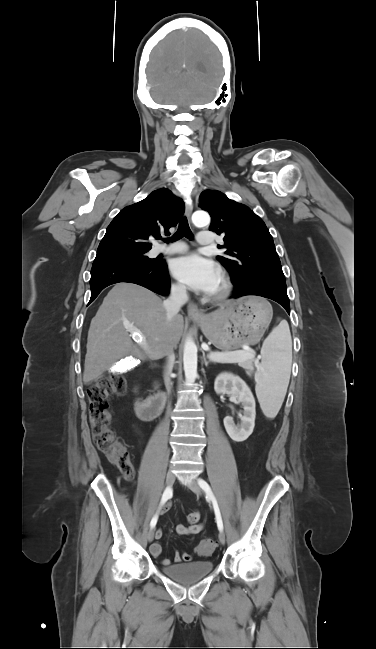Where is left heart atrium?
Listing matches in <instances>:
<instances>
[{
	"label": "left heart atrium",
	"mask_w": 376,
	"mask_h": 649,
	"mask_svg": "<svg viewBox=\"0 0 376 649\" xmlns=\"http://www.w3.org/2000/svg\"><path fill=\"white\" fill-rule=\"evenodd\" d=\"M171 270L179 282L195 291L211 293L220 282V269L217 264L197 254L175 259Z\"/></svg>",
	"instance_id": "39dd6f15"
}]
</instances>
